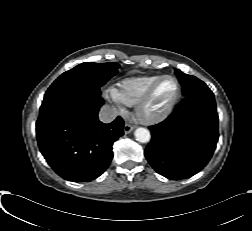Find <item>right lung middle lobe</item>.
Instances as JSON below:
<instances>
[{
  "label": "right lung middle lobe",
  "mask_w": 252,
  "mask_h": 231,
  "mask_svg": "<svg viewBox=\"0 0 252 231\" xmlns=\"http://www.w3.org/2000/svg\"><path fill=\"white\" fill-rule=\"evenodd\" d=\"M117 63H82L63 73L45 93L44 100L70 92H95L101 94L100 87L117 74Z\"/></svg>",
  "instance_id": "obj_1"
}]
</instances>
